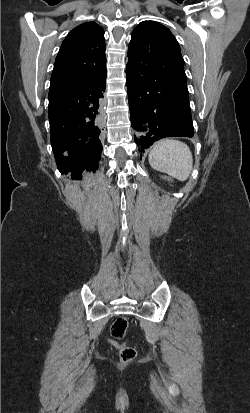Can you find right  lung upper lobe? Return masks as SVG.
<instances>
[{"instance_id": "cb5924a9", "label": "right lung upper lobe", "mask_w": 250, "mask_h": 413, "mask_svg": "<svg viewBox=\"0 0 250 413\" xmlns=\"http://www.w3.org/2000/svg\"><path fill=\"white\" fill-rule=\"evenodd\" d=\"M103 29L95 22L74 28L64 39L55 60L50 91L88 82L106 70Z\"/></svg>"}]
</instances>
